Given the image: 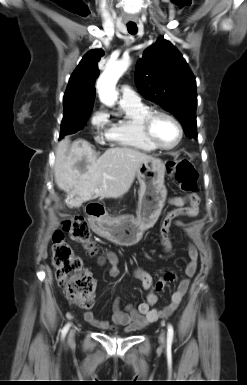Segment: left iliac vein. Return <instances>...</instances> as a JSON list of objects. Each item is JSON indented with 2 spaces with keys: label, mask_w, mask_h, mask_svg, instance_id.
Listing matches in <instances>:
<instances>
[{
  "label": "left iliac vein",
  "mask_w": 247,
  "mask_h": 385,
  "mask_svg": "<svg viewBox=\"0 0 247 385\" xmlns=\"http://www.w3.org/2000/svg\"><path fill=\"white\" fill-rule=\"evenodd\" d=\"M159 342L160 344L163 346L165 344V335H164V332L161 333L160 337H159Z\"/></svg>",
  "instance_id": "1"
}]
</instances>
